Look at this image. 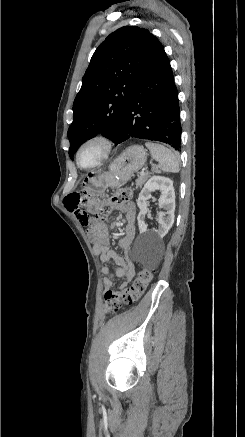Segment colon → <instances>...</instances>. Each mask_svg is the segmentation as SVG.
I'll return each instance as SVG.
<instances>
[{
    "label": "colon",
    "mask_w": 245,
    "mask_h": 437,
    "mask_svg": "<svg viewBox=\"0 0 245 437\" xmlns=\"http://www.w3.org/2000/svg\"><path fill=\"white\" fill-rule=\"evenodd\" d=\"M130 198L131 191L129 189H120L111 199L103 200L98 204L95 210V218L97 220H104L108 216L114 203H126ZM153 277L154 269L144 268L139 272L132 285L128 288L121 291H106L104 295L105 313L111 315L117 313L123 305L136 303L146 291Z\"/></svg>",
    "instance_id": "5ec220e1"
}]
</instances>
